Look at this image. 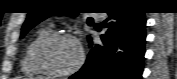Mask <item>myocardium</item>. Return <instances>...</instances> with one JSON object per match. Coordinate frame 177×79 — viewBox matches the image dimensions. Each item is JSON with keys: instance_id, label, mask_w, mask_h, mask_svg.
<instances>
[{"instance_id": "1", "label": "myocardium", "mask_w": 177, "mask_h": 79, "mask_svg": "<svg viewBox=\"0 0 177 79\" xmlns=\"http://www.w3.org/2000/svg\"><path fill=\"white\" fill-rule=\"evenodd\" d=\"M59 40H69L74 42L77 45V48L79 50V59L78 62L76 63V65L74 67H72L71 69H68L66 71H56L53 70L51 67H49L43 60V51L44 49L51 43L55 42V41H59ZM33 60L34 63L36 64V66L45 74L48 75H53V76H69L72 75L74 73H76L77 71H79L84 62H85V53H84V49L80 43V41L78 40L77 37H75L74 35L71 34H66V33H55V34H50L49 36H47L46 38H44L35 48L34 50V55H33Z\"/></svg>"}]
</instances>
